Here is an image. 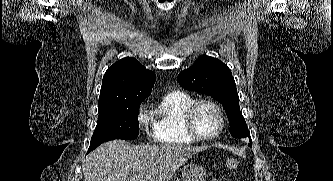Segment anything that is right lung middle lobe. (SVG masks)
Here are the masks:
<instances>
[{
  "instance_id": "obj_1",
  "label": "right lung middle lobe",
  "mask_w": 333,
  "mask_h": 181,
  "mask_svg": "<svg viewBox=\"0 0 333 181\" xmlns=\"http://www.w3.org/2000/svg\"><path fill=\"white\" fill-rule=\"evenodd\" d=\"M142 101L99 109L89 150L114 139H135L139 134L138 112Z\"/></svg>"
}]
</instances>
